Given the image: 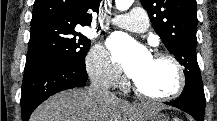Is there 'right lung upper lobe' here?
Listing matches in <instances>:
<instances>
[{"instance_id":"1","label":"right lung upper lobe","mask_w":217,"mask_h":121,"mask_svg":"<svg viewBox=\"0 0 217 121\" xmlns=\"http://www.w3.org/2000/svg\"><path fill=\"white\" fill-rule=\"evenodd\" d=\"M101 0H35L31 24L54 21L69 25H90Z\"/></svg>"}]
</instances>
